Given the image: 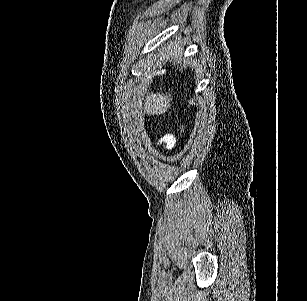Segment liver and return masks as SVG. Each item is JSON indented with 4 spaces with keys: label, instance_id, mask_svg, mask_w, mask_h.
Masks as SVG:
<instances>
[{
    "label": "liver",
    "instance_id": "6515ba94",
    "mask_svg": "<svg viewBox=\"0 0 307 301\" xmlns=\"http://www.w3.org/2000/svg\"><path fill=\"white\" fill-rule=\"evenodd\" d=\"M178 52L183 54V48H178ZM177 70H182V66H179V60L177 68L174 70L175 76H177ZM169 90H173V88H169ZM172 94L173 92H166V94H163V92H148L144 98L145 114H164V112H167L168 108L173 104Z\"/></svg>",
    "mask_w": 307,
    "mask_h": 301
}]
</instances>
